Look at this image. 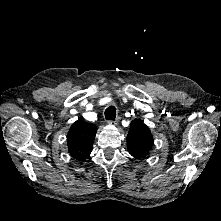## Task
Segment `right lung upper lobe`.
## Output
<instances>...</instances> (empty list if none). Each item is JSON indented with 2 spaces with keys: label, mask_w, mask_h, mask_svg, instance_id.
Returning <instances> with one entry per match:
<instances>
[{
  "label": "right lung upper lobe",
  "mask_w": 221,
  "mask_h": 221,
  "mask_svg": "<svg viewBox=\"0 0 221 221\" xmlns=\"http://www.w3.org/2000/svg\"><path fill=\"white\" fill-rule=\"evenodd\" d=\"M97 128L92 123L77 120L69 129L67 146L70 155L77 161L87 159L93 149Z\"/></svg>",
  "instance_id": "1"
}]
</instances>
